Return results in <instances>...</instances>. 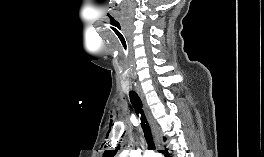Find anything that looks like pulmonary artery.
I'll use <instances>...</instances> for the list:
<instances>
[{
    "label": "pulmonary artery",
    "instance_id": "1",
    "mask_svg": "<svg viewBox=\"0 0 264 157\" xmlns=\"http://www.w3.org/2000/svg\"><path fill=\"white\" fill-rule=\"evenodd\" d=\"M152 154H150L149 152H146L145 154H144V157H148V156H151Z\"/></svg>",
    "mask_w": 264,
    "mask_h": 157
}]
</instances>
